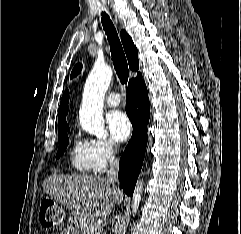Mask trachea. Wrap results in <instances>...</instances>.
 Instances as JSON below:
<instances>
[{
    "label": "trachea",
    "instance_id": "obj_1",
    "mask_svg": "<svg viewBox=\"0 0 241 234\" xmlns=\"http://www.w3.org/2000/svg\"><path fill=\"white\" fill-rule=\"evenodd\" d=\"M101 21L110 44L111 56L116 73L120 82L125 84L128 81L129 70L125 53L118 38L117 31L112 21L110 20V17L105 12L102 13Z\"/></svg>",
    "mask_w": 241,
    "mask_h": 234
}]
</instances>
